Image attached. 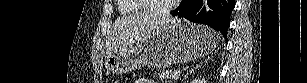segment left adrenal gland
Returning a JSON list of instances; mask_svg holds the SVG:
<instances>
[{"label": "left adrenal gland", "instance_id": "1", "mask_svg": "<svg viewBox=\"0 0 307 83\" xmlns=\"http://www.w3.org/2000/svg\"><path fill=\"white\" fill-rule=\"evenodd\" d=\"M203 64V62H201L200 64H198L195 68L191 69L189 72H187V74L185 75V78L188 77L189 74H191L194 70L198 69L199 67H201V65Z\"/></svg>", "mask_w": 307, "mask_h": 83}]
</instances>
